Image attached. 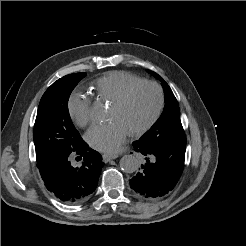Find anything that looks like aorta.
Returning <instances> with one entry per match:
<instances>
[{
	"mask_svg": "<svg viewBox=\"0 0 246 246\" xmlns=\"http://www.w3.org/2000/svg\"><path fill=\"white\" fill-rule=\"evenodd\" d=\"M92 114L97 119H101L104 116V111L100 106L95 105L92 108ZM138 167L139 160L134 155H124L120 160V168L126 173H133L138 169Z\"/></svg>",
	"mask_w": 246,
	"mask_h": 246,
	"instance_id": "762f6f07",
	"label": "aorta"
}]
</instances>
